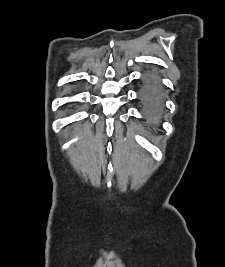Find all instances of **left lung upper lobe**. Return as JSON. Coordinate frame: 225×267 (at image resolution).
<instances>
[{
  "mask_svg": "<svg viewBox=\"0 0 225 267\" xmlns=\"http://www.w3.org/2000/svg\"><path fill=\"white\" fill-rule=\"evenodd\" d=\"M145 112H146V114H147V117H148L150 123H152V124H156L157 122L154 121V120L151 118V115L148 113V111L145 110Z\"/></svg>",
  "mask_w": 225,
  "mask_h": 267,
  "instance_id": "left-lung-upper-lobe-1",
  "label": "left lung upper lobe"
}]
</instances>
